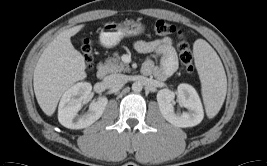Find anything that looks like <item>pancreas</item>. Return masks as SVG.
Returning <instances> with one entry per match:
<instances>
[{
    "mask_svg": "<svg viewBox=\"0 0 267 166\" xmlns=\"http://www.w3.org/2000/svg\"><path fill=\"white\" fill-rule=\"evenodd\" d=\"M102 68L105 70L106 73L130 71L129 65L121 61V58L118 53H114L113 57L107 58Z\"/></svg>",
    "mask_w": 267,
    "mask_h": 166,
    "instance_id": "1",
    "label": "pancreas"
}]
</instances>
